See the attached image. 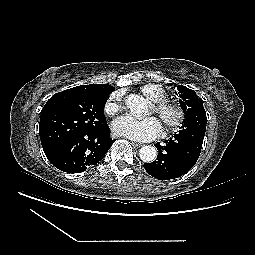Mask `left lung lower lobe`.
Wrapping results in <instances>:
<instances>
[{"label": "left lung lower lobe", "instance_id": "1", "mask_svg": "<svg viewBox=\"0 0 255 255\" xmlns=\"http://www.w3.org/2000/svg\"><path fill=\"white\" fill-rule=\"evenodd\" d=\"M205 131L206 124H196L164 141V145L157 143V160L144 164L147 173L160 180L175 179L187 173L199 158Z\"/></svg>", "mask_w": 255, "mask_h": 255}]
</instances>
